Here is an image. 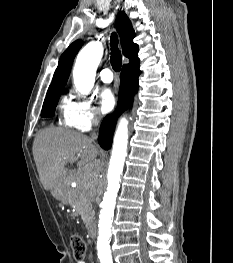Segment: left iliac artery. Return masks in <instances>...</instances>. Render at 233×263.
I'll return each instance as SVG.
<instances>
[{
	"mask_svg": "<svg viewBox=\"0 0 233 263\" xmlns=\"http://www.w3.org/2000/svg\"><path fill=\"white\" fill-rule=\"evenodd\" d=\"M102 263H113L112 261L102 262Z\"/></svg>",
	"mask_w": 233,
	"mask_h": 263,
	"instance_id": "44dca946",
	"label": "left iliac artery"
}]
</instances>
